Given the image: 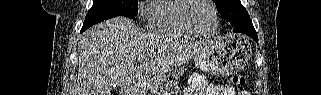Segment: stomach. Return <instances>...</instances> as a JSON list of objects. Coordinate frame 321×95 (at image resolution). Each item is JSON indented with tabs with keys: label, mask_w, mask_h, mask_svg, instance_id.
Instances as JSON below:
<instances>
[{
	"label": "stomach",
	"mask_w": 321,
	"mask_h": 95,
	"mask_svg": "<svg viewBox=\"0 0 321 95\" xmlns=\"http://www.w3.org/2000/svg\"><path fill=\"white\" fill-rule=\"evenodd\" d=\"M251 48L239 36L219 37L207 42L198 52L194 61L196 66L208 73L229 75L238 72L248 62ZM184 67L174 71L173 76L182 74Z\"/></svg>",
	"instance_id": "0dacf381"
}]
</instances>
